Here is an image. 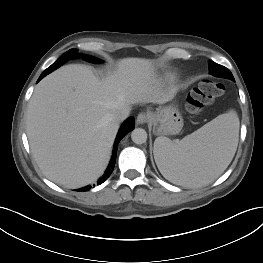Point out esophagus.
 <instances>
[{
	"label": "esophagus",
	"mask_w": 263,
	"mask_h": 263,
	"mask_svg": "<svg viewBox=\"0 0 263 263\" xmlns=\"http://www.w3.org/2000/svg\"><path fill=\"white\" fill-rule=\"evenodd\" d=\"M148 118H149L148 113L141 112L138 114L136 121L138 124H144L148 121Z\"/></svg>",
	"instance_id": "esophagus-1"
}]
</instances>
